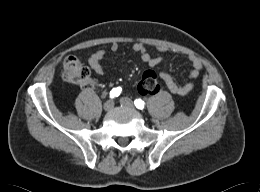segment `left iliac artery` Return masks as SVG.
Returning <instances> with one entry per match:
<instances>
[{"instance_id": "obj_1", "label": "left iliac artery", "mask_w": 260, "mask_h": 192, "mask_svg": "<svg viewBox=\"0 0 260 192\" xmlns=\"http://www.w3.org/2000/svg\"><path fill=\"white\" fill-rule=\"evenodd\" d=\"M135 105L138 109H143L145 106V103L141 99H137V100H135Z\"/></svg>"}]
</instances>
